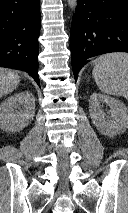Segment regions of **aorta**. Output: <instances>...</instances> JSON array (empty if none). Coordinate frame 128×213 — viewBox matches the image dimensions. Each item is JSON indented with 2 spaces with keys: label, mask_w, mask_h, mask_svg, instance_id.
<instances>
[{
  "label": "aorta",
  "mask_w": 128,
  "mask_h": 213,
  "mask_svg": "<svg viewBox=\"0 0 128 213\" xmlns=\"http://www.w3.org/2000/svg\"><path fill=\"white\" fill-rule=\"evenodd\" d=\"M78 0H67L68 6L72 12L76 10Z\"/></svg>",
  "instance_id": "aorta-1"
}]
</instances>
